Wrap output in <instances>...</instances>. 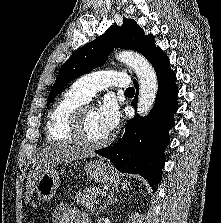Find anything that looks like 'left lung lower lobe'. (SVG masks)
<instances>
[{
  "instance_id": "1",
  "label": "left lung lower lobe",
  "mask_w": 221,
  "mask_h": 223,
  "mask_svg": "<svg viewBox=\"0 0 221 223\" xmlns=\"http://www.w3.org/2000/svg\"><path fill=\"white\" fill-rule=\"evenodd\" d=\"M169 65V59L163 52L153 64L158 77V93L151 112L145 117L137 115L129 120L117 143L95 151L110 159L120 172L143 176L153 191H156L162 177L164 149L169 143L168 132L174 126L173 115L178 108L176 76ZM133 82L137 94L132 106L136 110L138 83L136 80Z\"/></svg>"
}]
</instances>
